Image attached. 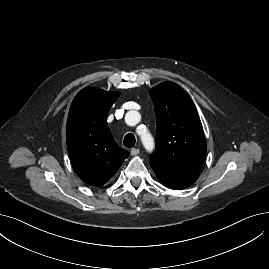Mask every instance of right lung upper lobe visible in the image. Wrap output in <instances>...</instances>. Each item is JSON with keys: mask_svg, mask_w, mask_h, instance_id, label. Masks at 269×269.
Here are the masks:
<instances>
[{"mask_svg": "<svg viewBox=\"0 0 269 269\" xmlns=\"http://www.w3.org/2000/svg\"><path fill=\"white\" fill-rule=\"evenodd\" d=\"M119 96V92L86 87L70 107L66 128L68 152L77 175L92 186L110 180L129 156L116 144L107 125L108 112Z\"/></svg>", "mask_w": 269, "mask_h": 269, "instance_id": "1", "label": "right lung upper lobe"}]
</instances>
